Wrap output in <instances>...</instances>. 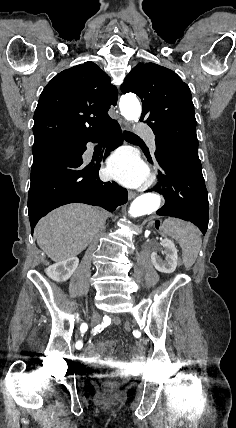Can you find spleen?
<instances>
[{
	"mask_svg": "<svg viewBox=\"0 0 236 428\" xmlns=\"http://www.w3.org/2000/svg\"><path fill=\"white\" fill-rule=\"evenodd\" d=\"M161 230L164 234L177 240L182 248L183 264L185 268H191L195 264L202 244L198 228L190 222H183L178 218H168L163 222Z\"/></svg>",
	"mask_w": 236,
	"mask_h": 428,
	"instance_id": "spleen-1",
	"label": "spleen"
}]
</instances>
